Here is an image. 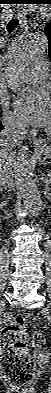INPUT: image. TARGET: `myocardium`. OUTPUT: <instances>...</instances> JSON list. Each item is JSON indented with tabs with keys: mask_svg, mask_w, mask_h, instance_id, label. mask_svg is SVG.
I'll return each mask as SVG.
<instances>
[{
	"mask_svg": "<svg viewBox=\"0 0 51 393\" xmlns=\"http://www.w3.org/2000/svg\"><path fill=\"white\" fill-rule=\"evenodd\" d=\"M47 132L51 133V130H47Z\"/></svg>",
	"mask_w": 51,
	"mask_h": 393,
	"instance_id": "f54148a6",
	"label": "myocardium"
}]
</instances>
